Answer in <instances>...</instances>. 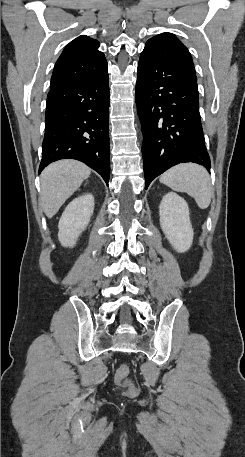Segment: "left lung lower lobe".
Listing matches in <instances>:
<instances>
[{
	"label": "left lung lower lobe",
	"instance_id": "left-lung-lower-lobe-1",
	"mask_svg": "<svg viewBox=\"0 0 245 457\" xmlns=\"http://www.w3.org/2000/svg\"><path fill=\"white\" fill-rule=\"evenodd\" d=\"M136 104L143 132L145 189L179 163H198L210 171L197 77L172 42H159L141 53Z\"/></svg>",
	"mask_w": 245,
	"mask_h": 457
}]
</instances>
